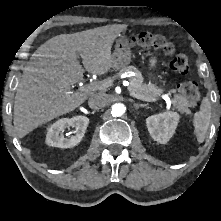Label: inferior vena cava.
Wrapping results in <instances>:
<instances>
[{
	"instance_id": "inferior-vena-cava-1",
	"label": "inferior vena cava",
	"mask_w": 221,
	"mask_h": 221,
	"mask_svg": "<svg viewBox=\"0 0 221 221\" xmlns=\"http://www.w3.org/2000/svg\"><path fill=\"white\" fill-rule=\"evenodd\" d=\"M107 103L108 98L105 94L102 93L93 94L88 100V105L91 109H100L106 106Z\"/></svg>"
}]
</instances>
